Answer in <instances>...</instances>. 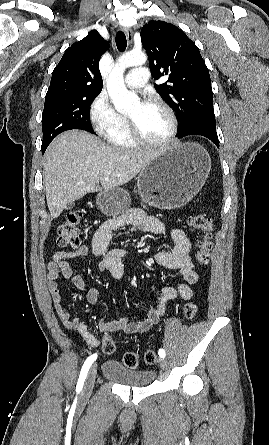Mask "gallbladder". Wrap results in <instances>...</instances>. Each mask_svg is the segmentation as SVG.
<instances>
[{"mask_svg":"<svg viewBox=\"0 0 269 445\" xmlns=\"http://www.w3.org/2000/svg\"><path fill=\"white\" fill-rule=\"evenodd\" d=\"M74 206V202L67 204L66 209H71Z\"/></svg>","mask_w":269,"mask_h":445,"instance_id":"obj_1","label":"gallbladder"}]
</instances>
